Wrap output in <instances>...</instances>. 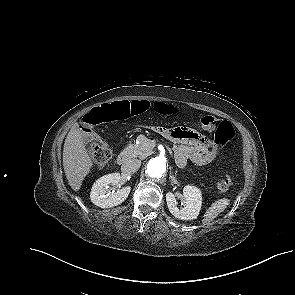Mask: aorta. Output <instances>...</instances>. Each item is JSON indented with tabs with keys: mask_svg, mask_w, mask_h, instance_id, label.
Here are the masks:
<instances>
[{
	"mask_svg": "<svg viewBox=\"0 0 295 295\" xmlns=\"http://www.w3.org/2000/svg\"><path fill=\"white\" fill-rule=\"evenodd\" d=\"M167 163L162 157H155L148 161L146 173L154 179L162 178L167 172Z\"/></svg>",
	"mask_w": 295,
	"mask_h": 295,
	"instance_id": "obj_1",
	"label": "aorta"
}]
</instances>
